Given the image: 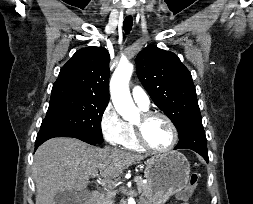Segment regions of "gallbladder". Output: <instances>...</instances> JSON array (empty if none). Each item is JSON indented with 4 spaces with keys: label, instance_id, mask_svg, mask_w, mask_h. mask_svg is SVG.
Returning <instances> with one entry per match:
<instances>
[{
    "label": "gallbladder",
    "instance_id": "gallbladder-1",
    "mask_svg": "<svg viewBox=\"0 0 253 204\" xmlns=\"http://www.w3.org/2000/svg\"><path fill=\"white\" fill-rule=\"evenodd\" d=\"M89 197L90 192L85 189L80 192L60 191L56 193L54 200L55 204H85Z\"/></svg>",
    "mask_w": 253,
    "mask_h": 204
}]
</instances>
